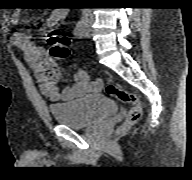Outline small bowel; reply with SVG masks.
Segmentation results:
<instances>
[{
    "label": "small bowel",
    "instance_id": "obj_1",
    "mask_svg": "<svg viewBox=\"0 0 192 180\" xmlns=\"http://www.w3.org/2000/svg\"><path fill=\"white\" fill-rule=\"evenodd\" d=\"M68 14V9L60 8L53 10L46 18V27L54 28L58 26L68 17ZM11 21L13 24L20 22L18 11L13 13ZM13 38L15 44L25 52L26 58L40 84L42 93L52 100H72L102 88L103 83L101 79L96 78L90 82L86 71L79 69L74 75V84L71 87L60 89L58 87L61 76L60 70L56 60L50 56L47 50L33 42L26 33H15Z\"/></svg>",
    "mask_w": 192,
    "mask_h": 180
}]
</instances>
